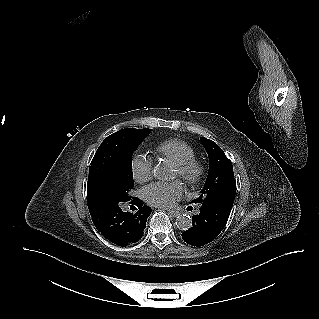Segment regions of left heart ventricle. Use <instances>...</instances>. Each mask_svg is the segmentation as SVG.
<instances>
[{"mask_svg":"<svg viewBox=\"0 0 319 319\" xmlns=\"http://www.w3.org/2000/svg\"><path fill=\"white\" fill-rule=\"evenodd\" d=\"M174 176L177 178V177H180L179 176V171H178V169L177 168H175V174H174Z\"/></svg>","mask_w":319,"mask_h":319,"instance_id":"obj_1","label":"left heart ventricle"}]
</instances>
